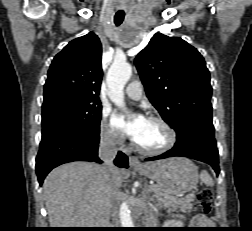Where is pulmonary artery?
<instances>
[{
	"instance_id": "1",
	"label": "pulmonary artery",
	"mask_w": 252,
	"mask_h": 231,
	"mask_svg": "<svg viewBox=\"0 0 252 231\" xmlns=\"http://www.w3.org/2000/svg\"><path fill=\"white\" fill-rule=\"evenodd\" d=\"M125 93L134 100H140L143 96V88L139 81H132L127 84Z\"/></svg>"
}]
</instances>
